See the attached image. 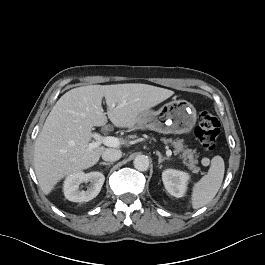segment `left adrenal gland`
<instances>
[{
	"label": "left adrenal gland",
	"mask_w": 265,
	"mask_h": 265,
	"mask_svg": "<svg viewBox=\"0 0 265 265\" xmlns=\"http://www.w3.org/2000/svg\"><path fill=\"white\" fill-rule=\"evenodd\" d=\"M156 154L158 155V164L160 165L163 161H165V160H169L170 158L169 157H163L162 155H161V153L160 152H156ZM160 167H161V165H160Z\"/></svg>",
	"instance_id": "1"
}]
</instances>
